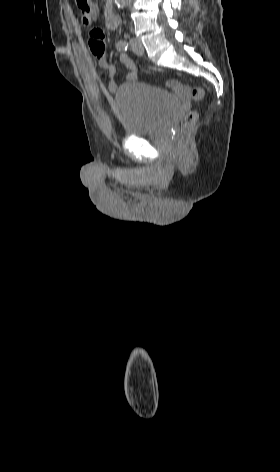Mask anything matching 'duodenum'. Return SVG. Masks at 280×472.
<instances>
[{"mask_svg":"<svg viewBox=\"0 0 280 472\" xmlns=\"http://www.w3.org/2000/svg\"><path fill=\"white\" fill-rule=\"evenodd\" d=\"M105 24L110 30H114L118 26V19L110 7L105 12Z\"/></svg>","mask_w":280,"mask_h":472,"instance_id":"1","label":"duodenum"}]
</instances>
